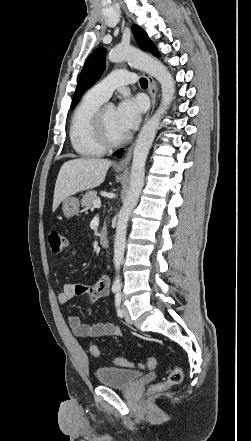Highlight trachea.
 <instances>
[{"instance_id":"1","label":"trachea","mask_w":251,"mask_h":441,"mask_svg":"<svg viewBox=\"0 0 251 441\" xmlns=\"http://www.w3.org/2000/svg\"><path fill=\"white\" fill-rule=\"evenodd\" d=\"M140 85L141 87H147L148 86V81L145 78H140Z\"/></svg>"}]
</instances>
